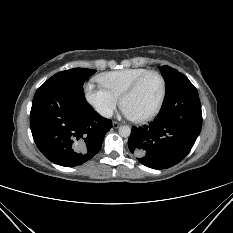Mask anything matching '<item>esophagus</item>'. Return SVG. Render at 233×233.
<instances>
[{"label": "esophagus", "instance_id": "obj_1", "mask_svg": "<svg viewBox=\"0 0 233 233\" xmlns=\"http://www.w3.org/2000/svg\"><path fill=\"white\" fill-rule=\"evenodd\" d=\"M119 126H120V123H118V122H116V121L113 122V127H114V128H118Z\"/></svg>", "mask_w": 233, "mask_h": 233}]
</instances>
